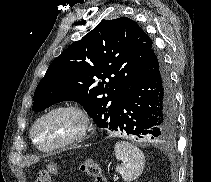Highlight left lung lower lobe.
Instances as JSON below:
<instances>
[{"instance_id":"left-lung-lower-lobe-1","label":"left lung lower lobe","mask_w":211,"mask_h":182,"mask_svg":"<svg viewBox=\"0 0 211 182\" xmlns=\"http://www.w3.org/2000/svg\"><path fill=\"white\" fill-rule=\"evenodd\" d=\"M176 119L171 79L162 56L153 48L119 106L114 130L151 140L171 133Z\"/></svg>"}]
</instances>
